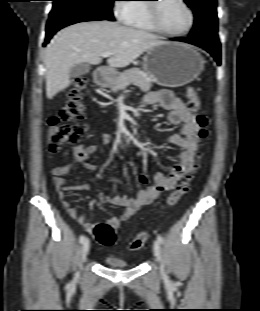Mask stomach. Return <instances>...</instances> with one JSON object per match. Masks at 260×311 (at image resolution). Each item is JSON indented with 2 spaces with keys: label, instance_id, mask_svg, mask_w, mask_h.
<instances>
[{
  "label": "stomach",
  "instance_id": "stomach-1",
  "mask_svg": "<svg viewBox=\"0 0 260 311\" xmlns=\"http://www.w3.org/2000/svg\"><path fill=\"white\" fill-rule=\"evenodd\" d=\"M203 57L192 47L166 42L147 51L143 69L154 82L166 87H180L196 79L204 70ZM116 78L114 72H101L96 81L108 86Z\"/></svg>",
  "mask_w": 260,
  "mask_h": 311
}]
</instances>
